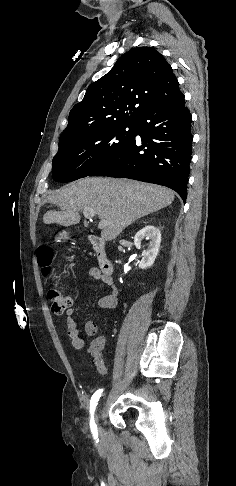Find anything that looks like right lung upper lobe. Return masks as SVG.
<instances>
[{
  "label": "right lung upper lobe",
  "instance_id": "obj_1",
  "mask_svg": "<svg viewBox=\"0 0 236 486\" xmlns=\"http://www.w3.org/2000/svg\"><path fill=\"white\" fill-rule=\"evenodd\" d=\"M183 93L171 66L152 47H136L89 85L69 113L60 142L116 125L133 124L148 108L179 99Z\"/></svg>",
  "mask_w": 236,
  "mask_h": 486
}]
</instances>
